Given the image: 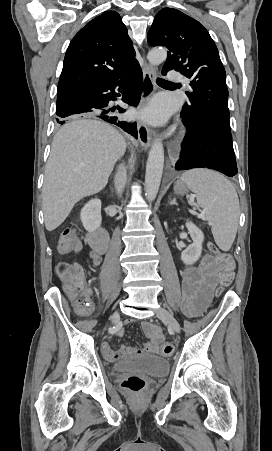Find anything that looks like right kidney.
<instances>
[{
    "mask_svg": "<svg viewBox=\"0 0 272 451\" xmlns=\"http://www.w3.org/2000/svg\"><path fill=\"white\" fill-rule=\"evenodd\" d=\"M81 222L87 231H94L97 227L101 226V200L95 198L90 200L88 204H85L80 214Z\"/></svg>",
    "mask_w": 272,
    "mask_h": 451,
    "instance_id": "1",
    "label": "right kidney"
}]
</instances>
